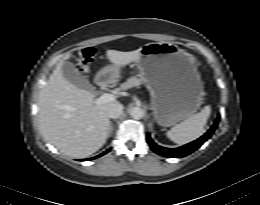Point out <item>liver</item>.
<instances>
[{
    "label": "liver",
    "instance_id": "obj_1",
    "mask_svg": "<svg viewBox=\"0 0 260 205\" xmlns=\"http://www.w3.org/2000/svg\"><path fill=\"white\" fill-rule=\"evenodd\" d=\"M108 60L117 70L140 57V49L122 52L107 50ZM66 55L50 75L39 95V123L44 138L61 153L75 158L87 157L98 151L109 133L107 111L117 101L95 104L88 90L68 82L62 73Z\"/></svg>",
    "mask_w": 260,
    "mask_h": 205
}]
</instances>
